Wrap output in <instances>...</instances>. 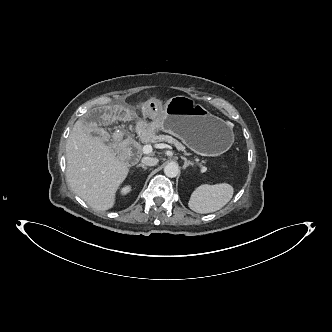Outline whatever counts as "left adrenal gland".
Listing matches in <instances>:
<instances>
[{"mask_svg": "<svg viewBox=\"0 0 332 332\" xmlns=\"http://www.w3.org/2000/svg\"><path fill=\"white\" fill-rule=\"evenodd\" d=\"M181 159L184 160V165H183V169L185 170L188 166H192V162L188 161L187 158H185L184 156H181Z\"/></svg>", "mask_w": 332, "mask_h": 332, "instance_id": "left-adrenal-gland-1", "label": "left adrenal gland"}]
</instances>
